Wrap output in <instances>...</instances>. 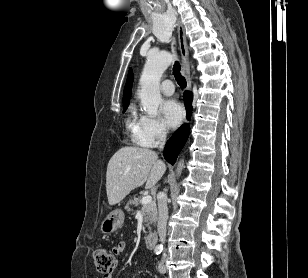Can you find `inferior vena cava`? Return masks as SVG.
I'll return each instance as SVG.
<instances>
[{
  "mask_svg": "<svg viewBox=\"0 0 308 278\" xmlns=\"http://www.w3.org/2000/svg\"><path fill=\"white\" fill-rule=\"evenodd\" d=\"M159 139H160L159 148L163 149L166 140L165 130H161L159 134ZM157 199H158L157 231L160 237V242L164 244L166 239V224L168 219L167 196L164 193H159Z\"/></svg>",
  "mask_w": 308,
  "mask_h": 278,
  "instance_id": "obj_1",
  "label": "inferior vena cava"
}]
</instances>
